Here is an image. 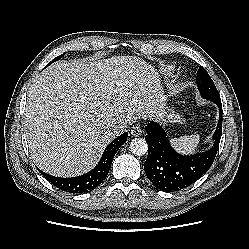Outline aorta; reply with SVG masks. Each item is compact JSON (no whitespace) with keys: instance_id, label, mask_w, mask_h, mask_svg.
Wrapping results in <instances>:
<instances>
[{"instance_id":"1","label":"aorta","mask_w":249,"mask_h":249,"mask_svg":"<svg viewBox=\"0 0 249 249\" xmlns=\"http://www.w3.org/2000/svg\"><path fill=\"white\" fill-rule=\"evenodd\" d=\"M130 151L136 156L145 155L148 151V144L142 138H135L130 142Z\"/></svg>"}]
</instances>
